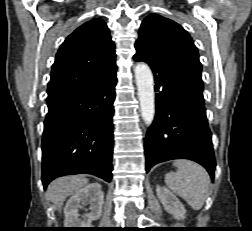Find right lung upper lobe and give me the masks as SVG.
Returning <instances> with one entry per match:
<instances>
[{"label":"right lung upper lobe","mask_w":252,"mask_h":231,"mask_svg":"<svg viewBox=\"0 0 252 231\" xmlns=\"http://www.w3.org/2000/svg\"><path fill=\"white\" fill-rule=\"evenodd\" d=\"M115 45L101 19L78 27L60 46L48 83L52 105L78 89L116 76Z\"/></svg>","instance_id":"obj_1"}]
</instances>
